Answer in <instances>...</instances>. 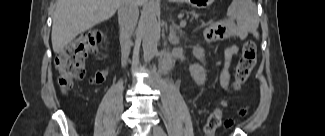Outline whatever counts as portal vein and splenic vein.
<instances>
[{
    "mask_svg": "<svg viewBox=\"0 0 325 136\" xmlns=\"http://www.w3.org/2000/svg\"><path fill=\"white\" fill-rule=\"evenodd\" d=\"M186 25V22L184 20L181 21L180 26L184 27Z\"/></svg>",
    "mask_w": 325,
    "mask_h": 136,
    "instance_id": "portal-vein-and-splenic-vein-1",
    "label": "portal vein and splenic vein"
}]
</instances>
